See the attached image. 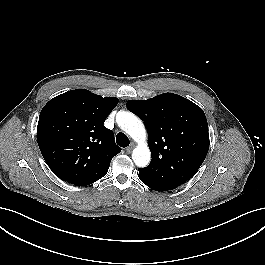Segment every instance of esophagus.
I'll return each mask as SVG.
<instances>
[{"label":"esophagus","instance_id":"34e87169","mask_svg":"<svg viewBox=\"0 0 265 265\" xmlns=\"http://www.w3.org/2000/svg\"><path fill=\"white\" fill-rule=\"evenodd\" d=\"M134 147H135V144L131 143L130 146L126 148V152L131 153Z\"/></svg>","mask_w":265,"mask_h":265}]
</instances>
